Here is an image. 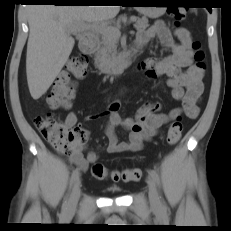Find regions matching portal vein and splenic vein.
<instances>
[{
  "label": "portal vein and splenic vein",
  "instance_id": "18ae733b",
  "mask_svg": "<svg viewBox=\"0 0 231 231\" xmlns=\"http://www.w3.org/2000/svg\"><path fill=\"white\" fill-rule=\"evenodd\" d=\"M136 18L132 17L130 19V22H135ZM92 29L93 31L99 33V34H107L112 35L114 37H120L121 33L118 28H115L111 25H108L106 23L98 22V23H92V24H82L80 27H73L68 29L69 33H75L77 31H86Z\"/></svg>",
  "mask_w": 231,
  "mask_h": 231
}]
</instances>
